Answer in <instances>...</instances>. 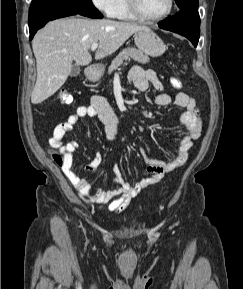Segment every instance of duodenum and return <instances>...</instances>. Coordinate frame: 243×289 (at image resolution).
<instances>
[{
	"mask_svg": "<svg viewBox=\"0 0 243 289\" xmlns=\"http://www.w3.org/2000/svg\"><path fill=\"white\" fill-rule=\"evenodd\" d=\"M95 71H96V68H95V67H91V68L89 69V73H90V74H94Z\"/></svg>",
	"mask_w": 243,
	"mask_h": 289,
	"instance_id": "1",
	"label": "duodenum"
}]
</instances>
